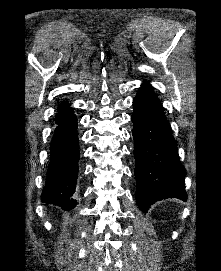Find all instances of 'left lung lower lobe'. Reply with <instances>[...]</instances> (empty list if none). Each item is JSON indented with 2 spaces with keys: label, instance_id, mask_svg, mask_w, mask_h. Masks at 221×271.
Returning <instances> with one entry per match:
<instances>
[{
  "label": "left lung lower lobe",
  "instance_id": "0a47b994",
  "mask_svg": "<svg viewBox=\"0 0 221 271\" xmlns=\"http://www.w3.org/2000/svg\"><path fill=\"white\" fill-rule=\"evenodd\" d=\"M136 202L144 212L157 201L178 198L187 201L185 168L179 161L164 108L153 88L144 83L133 99Z\"/></svg>",
  "mask_w": 221,
  "mask_h": 271
}]
</instances>
